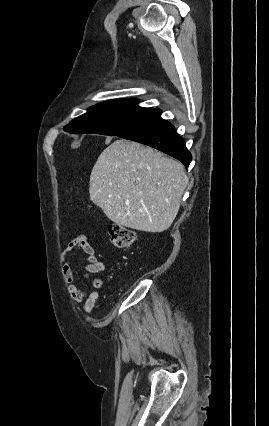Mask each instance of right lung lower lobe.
Returning <instances> with one entry per match:
<instances>
[{
    "mask_svg": "<svg viewBox=\"0 0 269 426\" xmlns=\"http://www.w3.org/2000/svg\"><path fill=\"white\" fill-rule=\"evenodd\" d=\"M64 129L69 131L67 127ZM118 137L158 149L181 161L186 168L192 159L183 138L176 133L172 124L161 118L159 109H154L143 122Z\"/></svg>",
    "mask_w": 269,
    "mask_h": 426,
    "instance_id": "1",
    "label": "right lung lower lobe"
}]
</instances>
